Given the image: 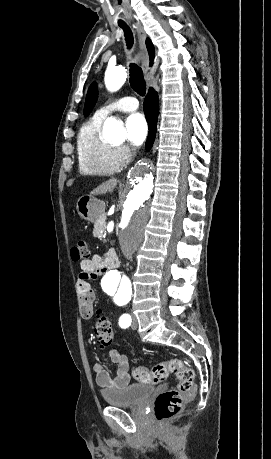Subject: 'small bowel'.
I'll list each match as a JSON object with an SVG mask.
<instances>
[{"label":"small bowel","mask_w":271,"mask_h":459,"mask_svg":"<svg viewBox=\"0 0 271 459\" xmlns=\"http://www.w3.org/2000/svg\"><path fill=\"white\" fill-rule=\"evenodd\" d=\"M81 273L77 280L80 312L84 319L93 315L95 293L89 281L99 278L106 271V261L99 255L79 262ZM110 360L116 367V375L112 377L102 364H95L96 383L102 388H123L130 383V366L127 357L116 350L110 352Z\"/></svg>","instance_id":"small-bowel-1"}]
</instances>
